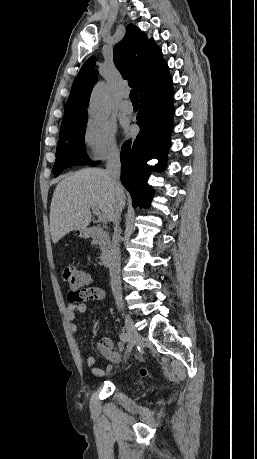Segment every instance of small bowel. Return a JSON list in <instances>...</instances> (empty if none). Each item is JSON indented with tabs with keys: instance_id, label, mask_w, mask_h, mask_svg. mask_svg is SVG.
Masks as SVG:
<instances>
[{
	"instance_id": "obj_1",
	"label": "small bowel",
	"mask_w": 257,
	"mask_h": 459,
	"mask_svg": "<svg viewBox=\"0 0 257 459\" xmlns=\"http://www.w3.org/2000/svg\"><path fill=\"white\" fill-rule=\"evenodd\" d=\"M89 292V297L83 301H75L74 298L77 294V290H70L67 306V317L69 320V328L72 332H77L79 330V325L76 322V317L78 314H84L87 311V301H102L105 298V292L100 287H89L87 288ZM124 349V344L122 342H115L110 337H103L97 343V350L99 353L107 360L112 363H116L121 359V353ZM86 363L95 376H104L107 371L110 370V367L107 369L99 368L96 364L94 356L88 355L86 358Z\"/></svg>"
}]
</instances>
